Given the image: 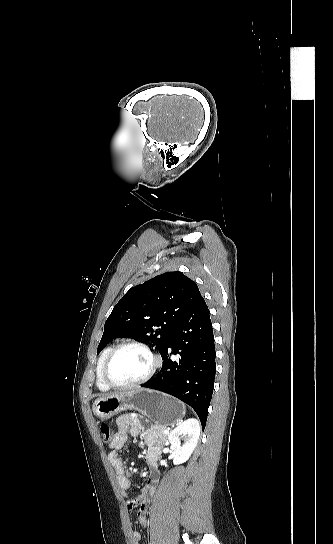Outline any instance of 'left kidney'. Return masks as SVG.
Listing matches in <instances>:
<instances>
[{"label": "left kidney", "mask_w": 333, "mask_h": 544, "mask_svg": "<svg viewBox=\"0 0 333 544\" xmlns=\"http://www.w3.org/2000/svg\"><path fill=\"white\" fill-rule=\"evenodd\" d=\"M200 435V426L196 419H188L176 427L168 436L175 465L186 462L195 449ZM181 439L184 443L181 445Z\"/></svg>", "instance_id": "obj_1"}]
</instances>
